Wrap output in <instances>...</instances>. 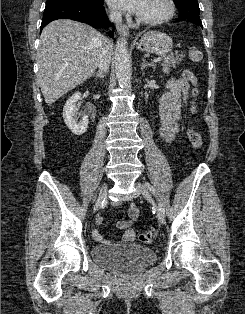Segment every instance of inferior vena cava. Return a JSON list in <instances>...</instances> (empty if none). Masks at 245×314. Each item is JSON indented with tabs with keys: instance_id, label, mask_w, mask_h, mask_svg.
<instances>
[{
	"instance_id": "inferior-vena-cava-1",
	"label": "inferior vena cava",
	"mask_w": 245,
	"mask_h": 314,
	"mask_svg": "<svg viewBox=\"0 0 245 314\" xmlns=\"http://www.w3.org/2000/svg\"><path fill=\"white\" fill-rule=\"evenodd\" d=\"M111 22L119 23L121 22V13L111 12L109 15ZM113 50V43L110 39H105L99 53L98 67L103 73H107L110 65L111 54Z\"/></svg>"
}]
</instances>
